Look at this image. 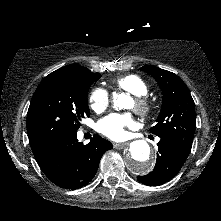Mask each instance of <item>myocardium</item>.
I'll return each mask as SVG.
<instances>
[{"instance_id": "f54148a6", "label": "myocardium", "mask_w": 221, "mask_h": 221, "mask_svg": "<svg viewBox=\"0 0 221 221\" xmlns=\"http://www.w3.org/2000/svg\"><path fill=\"white\" fill-rule=\"evenodd\" d=\"M134 109L140 116L145 117L151 112L152 104L144 96H135Z\"/></svg>"}]
</instances>
